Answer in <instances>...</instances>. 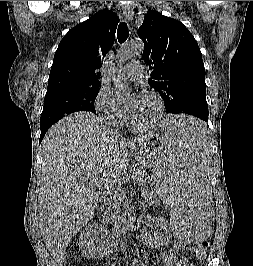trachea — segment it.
Returning <instances> with one entry per match:
<instances>
[{
  "instance_id": "trachea-1",
  "label": "trachea",
  "mask_w": 253,
  "mask_h": 266,
  "mask_svg": "<svg viewBox=\"0 0 253 266\" xmlns=\"http://www.w3.org/2000/svg\"><path fill=\"white\" fill-rule=\"evenodd\" d=\"M129 35L128 26L125 22H121L117 29V38L119 43H124Z\"/></svg>"
}]
</instances>
